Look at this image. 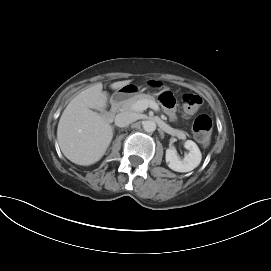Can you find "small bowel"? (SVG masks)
Segmentation results:
<instances>
[{
	"label": "small bowel",
	"instance_id": "small-bowel-1",
	"mask_svg": "<svg viewBox=\"0 0 271 271\" xmlns=\"http://www.w3.org/2000/svg\"><path fill=\"white\" fill-rule=\"evenodd\" d=\"M168 113L172 118H174V111L172 110V106L168 107Z\"/></svg>",
	"mask_w": 271,
	"mask_h": 271
}]
</instances>
